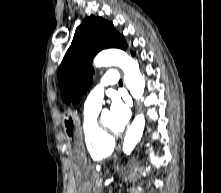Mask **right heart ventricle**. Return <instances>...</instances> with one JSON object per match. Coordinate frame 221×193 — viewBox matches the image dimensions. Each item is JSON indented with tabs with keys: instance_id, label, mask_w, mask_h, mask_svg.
I'll list each match as a JSON object with an SVG mask.
<instances>
[{
	"instance_id": "right-heart-ventricle-1",
	"label": "right heart ventricle",
	"mask_w": 221,
	"mask_h": 193,
	"mask_svg": "<svg viewBox=\"0 0 221 193\" xmlns=\"http://www.w3.org/2000/svg\"><path fill=\"white\" fill-rule=\"evenodd\" d=\"M98 110L84 111L82 119V136L85 148L93 159H100L110 155L114 149V141L106 139L99 131Z\"/></svg>"
}]
</instances>
